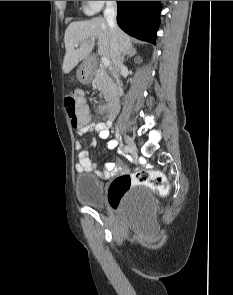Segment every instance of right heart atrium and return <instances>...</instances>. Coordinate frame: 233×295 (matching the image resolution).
<instances>
[{
  "label": "right heart atrium",
  "mask_w": 233,
  "mask_h": 295,
  "mask_svg": "<svg viewBox=\"0 0 233 295\" xmlns=\"http://www.w3.org/2000/svg\"><path fill=\"white\" fill-rule=\"evenodd\" d=\"M113 1H84V12L86 14H95L96 12L100 11L103 6L107 3H111Z\"/></svg>",
  "instance_id": "right-heart-atrium-1"
}]
</instances>
